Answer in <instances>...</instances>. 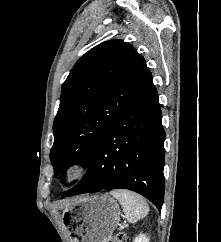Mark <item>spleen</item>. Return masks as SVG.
I'll use <instances>...</instances> for the list:
<instances>
[{"label": "spleen", "instance_id": "obj_1", "mask_svg": "<svg viewBox=\"0 0 221 242\" xmlns=\"http://www.w3.org/2000/svg\"><path fill=\"white\" fill-rule=\"evenodd\" d=\"M110 194L116 198L123 208L126 219L129 223H136L149 212V206L140 195L128 190H112Z\"/></svg>", "mask_w": 221, "mask_h": 242}]
</instances>
